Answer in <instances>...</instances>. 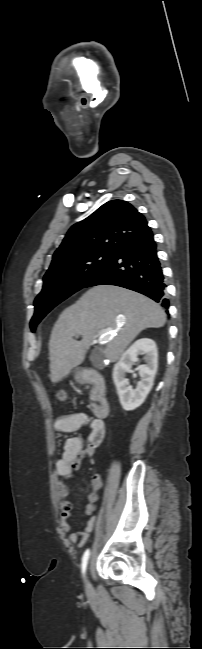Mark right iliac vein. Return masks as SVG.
<instances>
[{"label":"right iliac vein","mask_w":202,"mask_h":649,"mask_svg":"<svg viewBox=\"0 0 202 649\" xmlns=\"http://www.w3.org/2000/svg\"><path fill=\"white\" fill-rule=\"evenodd\" d=\"M86 590H87L88 592H90V590H91V584H90V582H89L88 579H87V582H86Z\"/></svg>","instance_id":"63e3f726"}]
</instances>
